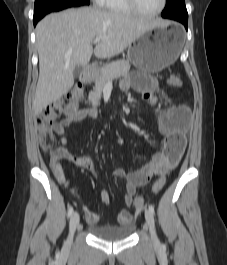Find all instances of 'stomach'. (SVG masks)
Instances as JSON below:
<instances>
[{
    "mask_svg": "<svg viewBox=\"0 0 227 265\" xmlns=\"http://www.w3.org/2000/svg\"><path fill=\"white\" fill-rule=\"evenodd\" d=\"M182 50V33L179 27L152 28L128 47V59L138 69L157 73L172 65Z\"/></svg>",
    "mask_w": 227,
    "mask_h": 265,
    "instance_id": "1",
    "label": "stomach"
}]
</instances>
